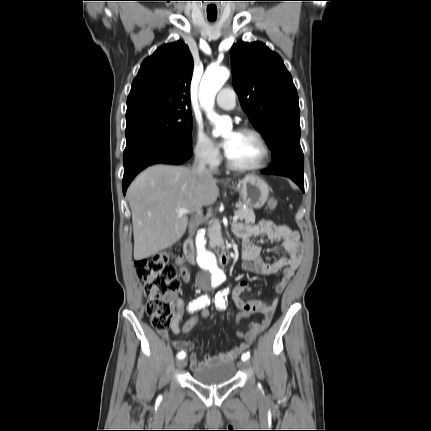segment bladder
Here are the masks:
<instances>
[{"instance_id":"1","label":"bladder","mask_w":431,"mask_h":431,"mask_svg":"<svg viewBox=\"0 0 431 431\" xmlns=\"http://www.w3.org/2000/svg\"><path fill=\"white\" fill-rule=\"evenodd\" d=\"M237 373V366L234 362L221 363L192 372V378L199 384L205 386H220L231 382Z\"/></svg>"}]
</instances>
